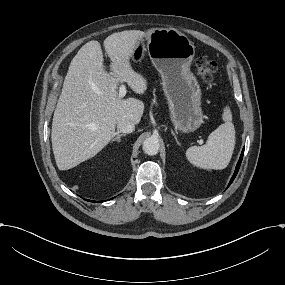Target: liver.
<instances>
[{"instance_id":"6515ba94","label":"liver","mask_w":285,"mask_h":285,"mask_svg":"<svg viewBox=\"0 0 285 285\" xmlns=\"http://www.w3.org/2000/svg\"><path fill=\"white\" fill-rule=\"evenodd\" d=\"M147 36L144 31L126 30L103 41L115 77L103 65L97 40L86 43L73 58L52 121V147L59 170L72 169L100 153L115 136L119 121L140 123L144 103L123 99L117 84L125 81L138 95L147 92V78L131 62Z\"/></svg>"}]
</instances>
